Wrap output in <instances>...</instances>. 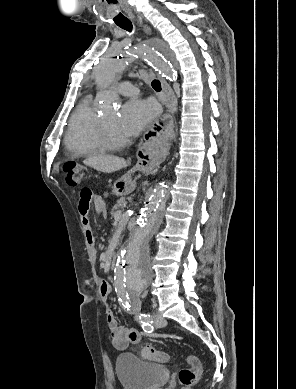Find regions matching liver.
<instances>
[{
    "label": "liver",
    "instance_id": "6515ba94",
    "mask_svg": "<svg viewBox=\"0 0 296 389\" xmlns=\"http://www.w3.org/2000/svg\"><path fill=\"white\" fill-rule=\"evenodd\" d=\"M83 163L103 173H113L127 166L122 158L102 154L89 156Z\"/></svg>",
    "mask_w": 296,
    "mask_h": 389
}]
</instances>
